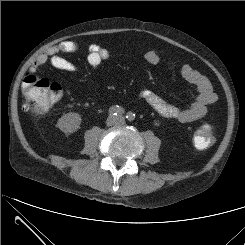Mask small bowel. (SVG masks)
<instances>
[{"instance_id":"small-bowel-1","label":"small bowel","mask_w":245,"mask_h":245,"mask_svg":"<svg viewBox=\"0 0 245 245\" xmlns=\"http://www.w3.org/2000/svg\"><path fill=\"white\" fill-rule=\"evenodd\" d=\"M83 49L87 54V62L92 68H97L104 60L110 57L109 51L100 45L91 44L84 48L77 42L64 41L41 53L35 59L31 71H35L49 62L53 67L59 70L68 73H76L78 71L77 67L65 56L82 51ZM144 57L151 65H156L161 61L160 55L153 50L146 52ZM181 75L196 89L195 96L188 107L179 108L163 100L153 92H144L142 97L152 109L162 117L188 123L205 115L208 107L216 101L217 96L210 81L192 66L187 64L183 65L181 67Z\"/></svg>"}]
</instances>
